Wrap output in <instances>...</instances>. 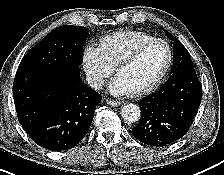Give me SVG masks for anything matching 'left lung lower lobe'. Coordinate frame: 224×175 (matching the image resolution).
<instances>
[{"mask_svg": "<svg viewBox=\"0 0 224 175\" xmlns=\"http://www.w3.org/2000/svg\"><path fill=\"white\" fill-rule=\"evenodd\" d=\"M202 100V86L192 67L170 74L161 88L141 99V119L132 129L136 139L161 147L184 136L192 125Z\"/></svg>", "mask_w": 224, "mask_h": 175, "instance_id": "1", "label": "left lung lower lobe"}]
</instances>
